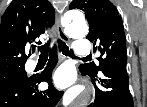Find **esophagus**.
<instances>
[{"mask_svg":"<svg viewBox=\"0 0 147 107\" xmlns=\"http://www.w3.org/2000/svg\"><path fill=\"white\" fill-rule=\"evenodd\" d=\"M55 29H56L57 34H58V36H59V38L61 40L65 41V42H69L70 41V39L68 38V36L64 32L63 26L61 24V20L59 18L56 19ZM91 93H92V90H91Z\"/></svg>","mask_w":147,"mask_h":107,"instance_id":"esophagus-1","label":"esophagus"}]
</instances>
